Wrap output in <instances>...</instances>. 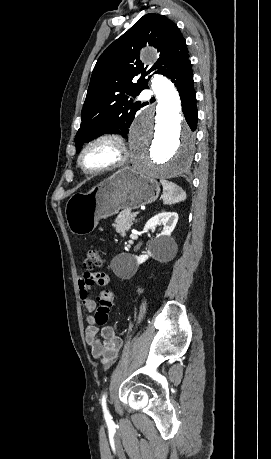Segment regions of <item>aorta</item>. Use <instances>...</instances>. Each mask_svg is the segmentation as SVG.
I'll use <instances>...</instances> for the list:
<instances>
[{
    "label": "aorta",
    "instance_id": "1",
    "mask_svg": "<svg viewBox=\"0 0 271 459\" xmlns=\"http://www.w3.org/2000/svg\"><path fill=\"white\" fill-rule=\"evenodd\" d=\"M147 62H154L157 51L146 47L141 52ZM156 107L137 118L130 138V159L139 175L162 180L187 170L193 160L195 135L183 121L179 94L172 82L161 75L151 79Z\"/></svg>",
    "mask_w": 271,
    "mask_h": 459
}]
</instances>
